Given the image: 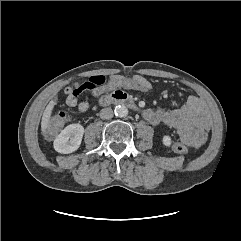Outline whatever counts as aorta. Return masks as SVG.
I'll list each match as a JSON object with an SVG mask.
<instances>
[{
  "mask_svg": "<svg viewBox=\"0 0 241 241\" xmlns=\"http://www.w3.org/2000/svg\"><path fill=\"white\" fill-rule=\"evenodd\" d=\"M114 112L118 117H126L128 115V109L123 105L116 106Z\"/></svg>",
  "mask_w": 241,
  "mask_h": 241,
  "instance_id": "762f6f07",
  "label": "aorta"
}]
</instances>
